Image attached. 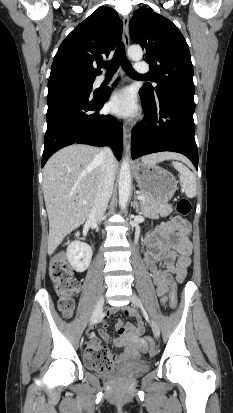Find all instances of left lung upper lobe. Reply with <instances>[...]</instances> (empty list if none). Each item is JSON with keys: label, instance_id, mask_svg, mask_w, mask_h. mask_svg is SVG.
Instances as JSON below:
<instances>
[{"label": "left lung upper lobe", "instance_id": "5c2ea615", "mask_svg": "<svg viewBox=\"0 0 233 413\" xmlns=\"http://www.w3.org/2000/svg\"><path fill=\"white\" fill-rule=\"evenodd\" d=\"M130 36L145 50L155 88L141 90L153 99L162 92H176L194 99L193 66L188 45L182 33L167 18L141 7L129 23Z\"/></svg>", "mask_w": 233, "mask_h": 413}]
</instances>
